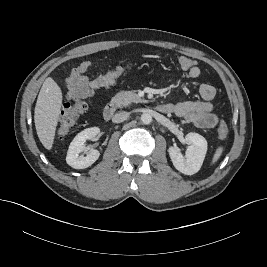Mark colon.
Here are the masks:
<instances>
[{
  "mask_svg": "<svg viewBox=\"0 0 267 267\" xmlns=\"http://www.w3.org/2000/svg\"><path fill=\"white\" fill-rule=\"evenodd\" d=\"M180 67L183 70H190L196 66V61L182 57L179 60ZM132 70L131 66H119L111 71L101 75L100 86L109 87L114 84L120 77L124 76ZM88 101L83 97H75L72 101L67 102L64 105L61 113L59 124L57 128V135L59 137H65L74 127L78 118L87 110ZM218 135L220 138H225L228 135V126L225 122H220L218 126Z\"/></svg>",
  "mask_w": 267,
  "mask_h": 267,
  "instance_id": "1",
  "label": "colon"
}]
</instances>
